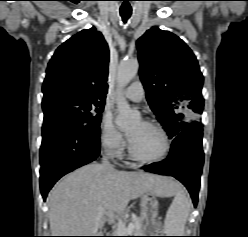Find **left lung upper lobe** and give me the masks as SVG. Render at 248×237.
<instances>
[{
  "instance_id": "1",
  "label": "left lung upper lobe",
  "mask_w": 248,
  "mask_h": 237,
  "mask_svg": "<svg viewBox=\"0 0 248 237\" xmlns=\"http://www.w3.org/2000/svg\"><path fill=\"white\" fill-rule=\"evenodd\" d=\"M137 48L147 101L169 138L200 125L203 75L191 49L173 33L157 27L138 39Z\"/></svg>"
}]
</instances>
